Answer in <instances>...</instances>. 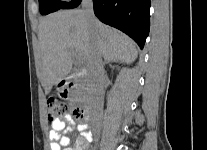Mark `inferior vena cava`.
Instances as JSON below:
<instances>
[{
    "mask_svg": "<svg viewBox=\"0 0 207 150\" xmlns=\"http://www.w3.org/2000/svg\"><path fill=\"white\" fill-rule=\"evenodd\" d=\"M81 7L86 21L89 24L93 25L96 21L93 11V2L91 0H83L81 3ZM88 68L94 99L97 102L102 103L103 89L106 83V76L104 72L102 57L97 50L93 51L88 63Z\"/></svg>",
    "mask_w": 207,
    "mask_h": 150,
    "instance_id": "obj_1",
    "label": "inferior vena cava"
}]
</instances>
